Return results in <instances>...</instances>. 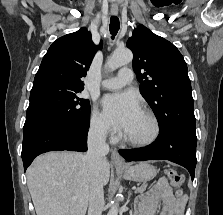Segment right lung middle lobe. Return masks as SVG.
<instances>
[{
    "label": "right lung middle lobe",
    "mask_w": 223,
    "mask_h": 215,
    "mask_svg": "<svg viewBox=\"0 0 223 215\" xmlns=\"http://www.w3.org/2000/svg\"><path fill=\"white\" fill-rule=\"evenodd\" d=\"M77 92L40 91L30 93L23 131L46 125L75 126L84 129L90 124V103Z\"/></svg>",
    "instance_id": "dd1d6c3e"
}]
</instances>
